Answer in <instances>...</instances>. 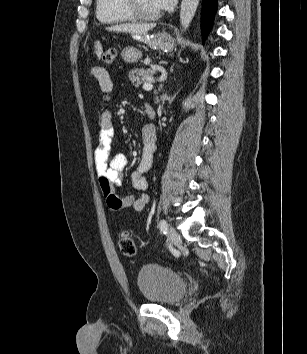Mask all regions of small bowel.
Returning <instances> with one entry per match:
<instances>
[{
	"instance_id": "1",
	"label": "small bowel",
	"mask_w": 307,
	"mask_h": 354,
	"mask_svg": "<svg viewBox=\"0 0 307 354\" xmlns=\"http://www.w3.org/2000/svg\"><path fill=\"white\" fill-rule=\"evenodd\" d=\"M129 38L135 37L134 31L128 32ZM99 49H96V54ZM89 75L98 83L103 101H111L113 82L109 72L101 66L91 68ZM152 109L146 108V112ZM115 136L112 114L108 109L102 111L99 121V129L96 133L97 148L94 156L96 174L99 186L104 195L108 207L114 211L133 208L141 212L148 205L150 197L146 193L149 183L145 173L152 165L153 154L155 152L156 134L151 125H146L141 131V141L143 145L141 159L137 169L131 175L132 186L140 191L138 195L119 196L115 189L123 182V172L127 166V157L122 153H113L112 144Z\"/></svg>"
}]
</instances>
